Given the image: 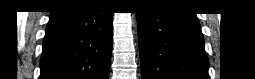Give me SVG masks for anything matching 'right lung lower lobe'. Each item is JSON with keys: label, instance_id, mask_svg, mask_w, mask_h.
I'll list each match as a JSON object with an SVG mask.
<instances>
[{"label": "right lung lower lobe", "instance_id": "obj_1", "mask_svg": "<svg viewBox=\"0 0 255 79\" xmlns=\"http://www.w3.org/2000/svg\"><path fill=\"white\" fill-rule=\"evenodd\" d=\"M113 13L94 6L51 12L40 61V79H108Z\"/></svg>", "mask_w": 255, "mask_h": 79}]
</instances>
